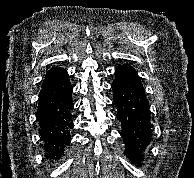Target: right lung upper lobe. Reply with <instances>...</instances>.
<instances>
[{
    "label": "right lung upper lobe",
    "mask_w": 194,
    "mask_h": 178,
    "mask_svg": "<svg viewBox=\"0 0 194 178\" xmlns=\"http://www.w3.org/2000/svg\"><path fill=\"white\" fill-rule=\"evenodd\" d=\"M63 71H64L63 68H60V67H53V68H51V69L47 72V74H46V76H45V79H46V78L54 77V76L60 74V73L63 72Z\"/></svg>",
    "instance_id": "right-lung-upper-lobe-1"
}]
</instances>
